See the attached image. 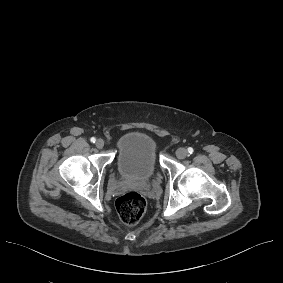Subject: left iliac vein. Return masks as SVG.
I'll list each match as a JSON object with an SVG mask.
<instances>
[{
	"mask_svg": "<svg viewBox=\"0 0 283 283\" xmlns=\"http://www.w3.org/2000/svg\"><path fill=\"white\" fill-rule=\"evenodd\" d=\"M176 155L178 158L184 159L188 156V151L187 149L181 147L176 150Z\"/></svg>",
	"mask_w": 283,
	"mask_h": 283,
	"instance_id": "1",
	"label": "left iliac vein"
}]
</instances>
